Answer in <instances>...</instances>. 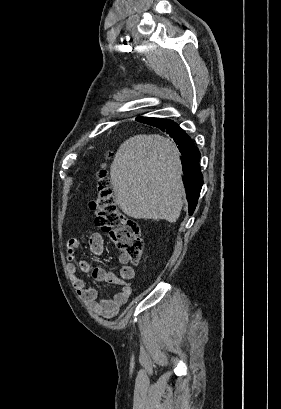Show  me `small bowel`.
<instances>
[{"label": "small bowel", "instance_id": "1", "mask_svg": "<svg viewBox=\"0 0 281 409\" xmlns=\"http://www.w3.org/2000/svg\"><path fill=\"white\" fill-rule=\"evenodd\" d=\"M78 247V239L70 238L67 241L66 248L71 255L67 267L68 275L73 280L77 293L96 313L106 318H112L132 296L133 287L131 281L135 278V269L130 265H123L118 275L108 272L102 267L94 266L86 260H79L74 257L73 254ZM89 248L91 253L96 256H100L104 253L103 239L99 233L90 232ZM78 271L89 274L98 282H106L119 286L120 289L112 298H99L97 290L87 285L82 278L77 276Z\"/></svg>", "mask_w": 281, "mask_h": 409}]
</instances>
